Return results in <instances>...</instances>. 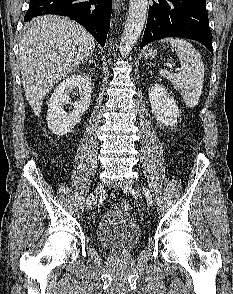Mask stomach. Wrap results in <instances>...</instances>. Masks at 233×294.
Returning a JSON list of instances; mask_svg holds the SVG:
<instances>
[{"mask_svg": "<svg viewBox=\"0 0 233 294\" xmlns=\"http://www.w3.org/2000/svg\"><path fill=\"white\" fill-rule=\"evenodd\" d=\"M157 55V51L153 48H149L145 50L144 56L147 59H153Z\"/></svg>", "mask_w": 233, "mask_h": 294, "instance_id": "1", "label": "stomach"}]
</instances>
